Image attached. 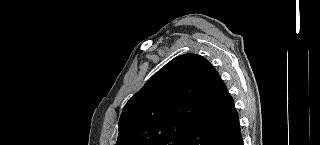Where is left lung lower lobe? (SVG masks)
<instances>
[{"label":"left lung lower lobe","instance_id":"1","mask_svg":"<svg viewBox=\"0 0 320 145\" xmlns=\"http://www.w3.org/2000/svg\"><path fill=\"white\" fill-rule=\"evenodd\" d=\"M210 107L186 134L182 145H243L233 99L218 73L209 82Z\"/></svg>","mask_w":320,"mask_h":145}]
</instances>
